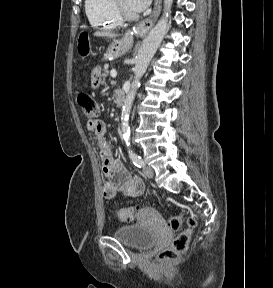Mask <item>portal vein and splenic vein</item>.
I'll use <instances>...</instances> for the list:
<instances>
[{"label":"portal vein and splenic vein","instance_id":"1","mask_svg":"<svg viewBox=\"0 0 273 288\" xmlns=\"http://www.w3.org/2000/svg\"><path fill=\"white\" fill-rule=\"evenodd\" d=\"M110 74H111V77H112V78H115V77L117 76V71H116V69H112L111 72H110Z\"/></svg>","mask_w":273,"mask_h":288}]
</instances>
